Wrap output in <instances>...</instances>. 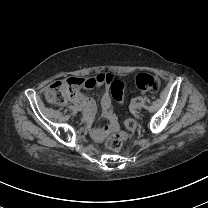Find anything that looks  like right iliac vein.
<instances>
[{
    "label": "right iliac vein",
    "mask_w": 208,
    "mask_h": 208,
    "mask_svg": "<svg viewBox=\"0 0 208 208\" xmlns=\"http://www.w3.org/2000/svg\"><path fill=\"white\" fill-rule=\"evenodd\" d=\"M76 109H77V111H82L83 110V108L81 106H77Z\"/></svg>",
    "instance_id": "right-iliac-vein-1"
}]
</instances>
